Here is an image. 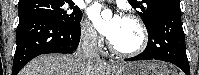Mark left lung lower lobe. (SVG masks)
<instances>
[{
  "mask_svg": "<svg viewBox=\"0 0 199 75\" xmlns=\"http://www.w3.org/2000/svg\"><path fill=\"white\" fill-rule=\"evenodd\" d=\"M147 31L149 36L146 49L125 61L151 59L167 61L178 66L186 75H190L181 10L173 9L162 13Z\"/></svg>",
  "mask_w": 199,
  "mask_h": 75,
  "instance_id": "0a47b994",
  "label": "left lung lower lobe"
}]
</instances>
